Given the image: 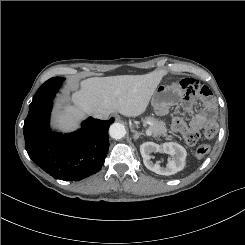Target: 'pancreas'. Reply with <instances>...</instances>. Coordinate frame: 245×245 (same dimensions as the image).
Returning a JSON list of instances; mask_svg holds the SVG:
<instances>
[{
	"label": "pancreas",
	"mask_w": 245,
	"mask_h": 245,
	"mask_svg": "<svg viewBox=\"0 0 245 245\" xmlns=\"http://www.w3.org/2000/svg\"><path fill=\"white\" fill-rule=\"evenodd\" d=\"M147 124H149V129L152 132L154 137L164 136L167 140H172V136L167 134V128L165 126V122L160 121L153 117H147L144 120Z\"/></svg>",
	"instance_id": "pancreas-1"
}]
</instances>
